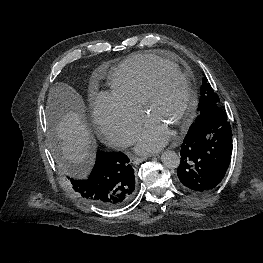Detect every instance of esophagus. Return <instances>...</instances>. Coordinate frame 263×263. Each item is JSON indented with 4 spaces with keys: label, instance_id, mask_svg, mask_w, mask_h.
I'll return each mask as SVG.
<instances>
[{
    "label": "esophagus",
    "instance_id": "34e87169",
    "mask_svg": "<svg viewBox=\"0 0 263 263\" xmlns=\"http://www.w3.org/2000/svg\"><path fill=\"white\" fill-rule=\"evenodd\" d=\"M146 158L147 157H135V156H133L131 160H132L133 164L138 165L142 161H144Z\"/></svg>",
    "mask_w": 263,
    "mask_h": 263
}]
</instances>
